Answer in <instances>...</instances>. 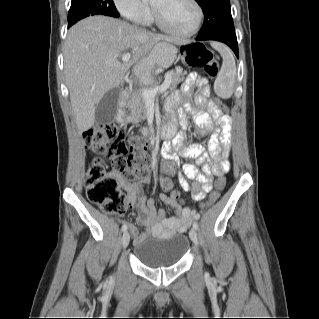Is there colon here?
<instances>
[{"label": "colon", "instance_id": "colon-1", "mask_svg": "<svg viewBox=\"0 0 319 319\" xmlns=\"http://www.w3.org/2000/svg\"><path fill=\"white\" fill-rule=\"evenodd\" d=\"M182 61L194 68H204L209 78L214 79L219 74V64L212 52L201 45L185 44L181 48ZM216 110L226 109L217 98L211 101ZM85 146L93 153L105 155L112 164V171H107L100 159L93 160L86 177V191L91 202L99 205L103 212L111 215H121L128 207L126 197L120 189L114 173L122 174L126 179L136 177L147 178L152 161L144 153V141L139 135H134L129 141L123 136V130L113 122L93 126L84 136ZM163 186L170 182L162 179ZM226 180L217 178L216 190L211 194L209 204L218 201L220 191L224 189ZM172 198L182 204L180 194L172 192Z\"/></svg>", "mask_w": 319, "mask_h": 319}]
</instances>
